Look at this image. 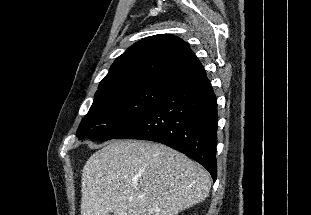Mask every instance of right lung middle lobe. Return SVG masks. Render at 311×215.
Segmentation results:
<instances>
[{
  "label": "right lung middle lobe",
  "instance_id": "1",
  "mask_svg": "<svg viewBox=\"0 0 311 215\" xmlns=\"http://www.w3.org/2000/svg\"><path fill=\"white\" fill-rule=\"evenodd\" d=\"M170 84H125L96 92L94 102L77 130L79 139H113L144 117Z\"/></svg>",
  "mask_w": 311,
  "mask_h": 215
}]
</instances>
